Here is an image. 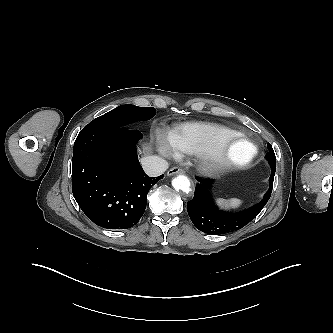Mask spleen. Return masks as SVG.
Wrapping results in <instances>:
<instances>
[{"mask_svg":"<svg viewBox=\"0 0 333 333\" xmlns=\"http://www.w3.org/2000/svg\"><path fill=\"white\" fill-rule=\"evenodd\" d=\"M216 203L221 207L225 209H230V208H238L239 206L242 205L243 200L238 199V198H231V199H223V198H218L216 199Z\"/></svg>","mask_w":333,"mask_h":333,"instance_id":"1","label":"spleen"}]
</instances>
